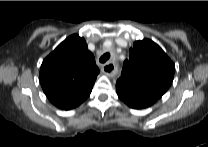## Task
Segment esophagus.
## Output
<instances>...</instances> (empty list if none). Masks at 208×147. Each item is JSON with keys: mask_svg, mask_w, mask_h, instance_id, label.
<instances>
[{"mask_svg": "<svg viewBox=\"0 0 208 147\" xmlns=\"http://www.w3.org/2000/svg\"><path fill=\"white\" fill-rule=\"evenodd\" d=\"M102 71L109 77H114L117 73V69L112 62H108L102 67Z\"/></svg>", "mask_w": 208, "mask_h": 147, "instance_id": "34e87169", "label": "esophagus"}]
</instances>
